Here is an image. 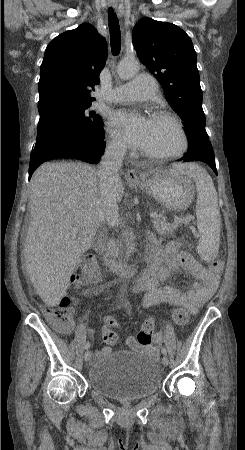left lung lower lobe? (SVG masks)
Instances as JSON below:
<instances>
[{
    "instance_id": "left-lung-lower-lobe-1",
    "label": "left lung lower lobe",
    "mask_w": 245,
    "mask_h": 450,
    "mask_svg": "<svg viewBox=\"0 0 245 450\" xmlns=\"http://www.w3.org/2000/svg\"><path fill=\"white\" fill-rule=\"evenodd\" d=\"M189 161V160H199L209 164L213 171L217 174V169L215 165L214 151L211 148H201L198 152L186 153L178 161Z\"/></svg>"
}]
</instances>
